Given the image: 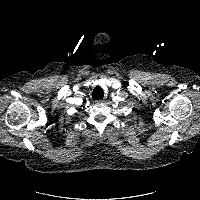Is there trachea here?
I'll list each match as a JSON object with an SVG mask.
<instances>
[{"label": "trachea", "mask_w": 200, "mask_h": 200, "mask_svg": "<svg viewBox=\"0 0 200 200\" xmlns=\"http://www.w3.org/2000/svg\"><path fill=\"white\" fill-rule=\"evenodd\" d=\"M104 96V92L101 87L97 86L94 88L92 98L95 100L101 99Z\"/></svg>", "instance_id": "obj_1"}]
</instances>
